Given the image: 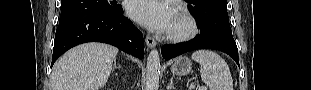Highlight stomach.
I'll return each mask as SVG.
<instances>
[{
    "mask_svg": "<svg viewBox=\"0 0 311 90\" xmlns=\"http://www.w3.org/2000/svg\"><path fill=\"white\" fill-rule=\"evenodd\" d=\"M192 70V63L189 60V58L182 56L174 60L171 71L173 74L179 75V76H185L189 74Z\"/></svg>",
    "mask_w": 311,
    "mask_h": 90,
    "instance_id": "0dacf381",
    "label": "stomach"
}]
</instances>
